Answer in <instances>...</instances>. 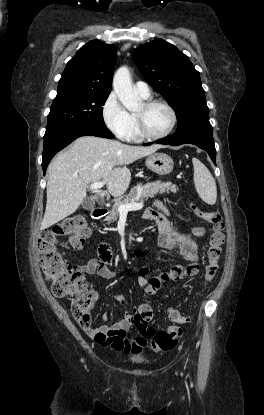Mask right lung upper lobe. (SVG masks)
Segmentation results:
<instances>
[{"label": "right lung upper lobe", "instance_id": "obj_1", "mask_svg": "<svg viewBox=\"0 0 264 415\" xmlns=\"http://www.w3.org/2000/svg\"><path fill=\"white\" fill-rule=\"evenodd\" d=\"M114 45L90 41L67 63L59 80L57 95L111 92L116 64Z\"/></svg>", "mask_w": 264, "mask_h": 415}]
</instances>
